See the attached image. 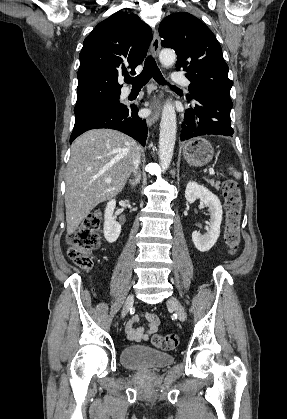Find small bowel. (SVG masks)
Returning <instances> with one entry per match:
<instances>
[{
	"label": "small bowel",
	"instance_id": "c3829d8e",
	"mask_svg": "<svg viewBox=\"0 0 287 419\" xmlns=\"http://www.w3.org/2000/svg\"><path fill=\"white\" fill-rule=\"evenodd\" d=\"M140 318H144L147 320V328L136 326ZM159 323L160 320L158 315L154 313L144 312L130 319L125 326V331L128 338L132 341H146L149 339L150 335L157 331Z\"/></svg>",
	"mask_w": 287,
	"mask_h": 419
}]
</instances>
